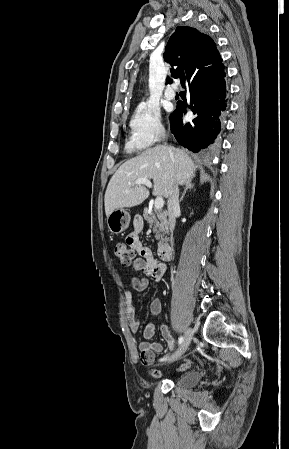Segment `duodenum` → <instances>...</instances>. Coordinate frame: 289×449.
Here are the masks:
<instances>
[{
	"mask_svg": "<svg viewBox=\"0 0 289 449\" xmlns=\"http://www.w3.org/2000/svg\"><path fill=\"white\" fill-rule=\"evenodd\" d=\"M171 246L167 243L161 244L158 248V255L163 261H168L171 258Z\"/></svg>",
	"mask_w": 289,
	"mask_h": 449,
	"instance_id": "obj_1",
	"label": "duodenum"
}]
</instances>
